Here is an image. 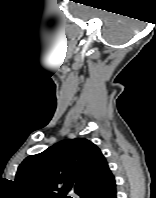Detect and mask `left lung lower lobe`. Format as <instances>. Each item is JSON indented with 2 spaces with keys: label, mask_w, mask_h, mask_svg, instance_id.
<instances>
[{
  "label": "left lung lower lobe",
  "mask_w": 156,
  "mask_h": 198,
  "mask_svg": "<svg viewBox=\"0 0 156 198\" xmlns=\"http://www.w3.org/2000/svg\"><path fill=\"white\" fill-rule=\"evenodd\" d=\"M81 198H117L115 178L111 171L92 188L80 195Z\"/></svg>",
  "instance_id": "left-lung-lower-lobe-1"
}]
</instances>
